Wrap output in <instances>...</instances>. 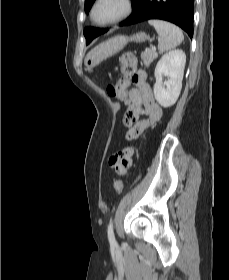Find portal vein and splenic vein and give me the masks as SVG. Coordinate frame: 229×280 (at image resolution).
I'll use <instances>...</instances> for the list:
<instances>
[{
	"instance_id": "18ae733b",
	"label": "portal vein and splenic vein",
	"mask_w": 229,
	"mask_h": 280,
	"mask_svg": "<svg viewBox=\"0 0 229 280\" xmlns=\"http://www.w3.org/2000/svg\"><path fill=\"white\" fill-rule=\"evenodd\" d=\"M152 50H154V51H155V50H156V47H155V46H152Z\"/></svg>"
}]
</instances>
